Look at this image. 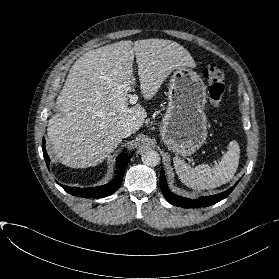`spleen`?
<instances>
[{"instance_id":"1","label":"spleen","mask_w":279,"mask_h":279,"mask_svg":"<svg viewBox=\"0 0 279 279\" xmlns=\"http://www.w3.org/2000/svg\"><path fill=\"white\" fill-rule=\"evenodd\" d=\"M239 154L238 143L232 141L228 145V151L217 165L211 167L208 164H202L192 168L174 158V167L179 179L186 186L197 190L213 189L229 182L234 177L239 164Z\"/></svg>"}]
</instances>
